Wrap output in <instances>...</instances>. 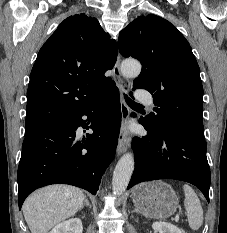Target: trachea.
Returning a JSON list of instances; mask_svg holds the SVG:
<instances>
[{
  "label": "trachea",
  "instance_id": "1",
  "mask_svg": "<svg viewBox=\"0 0 227 233\" xmlns=\"http://www.w3.org/2000/svg\"><path fill=\"white\" fill-rule=\"evenodd\" d=\"M125 100L129 106H142L134 101H132L127 95H124Z\"/></svg>",
  "mask_w": 227,
  "mask_h": 233
}]
</instances>
